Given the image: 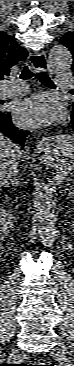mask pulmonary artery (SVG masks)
Instances as JSON below:
<instances>
[{
  "label": "pulmonary artery",
  "mask_w": 74,
  "mask_h": 366,
  "mask_svg": "<svg viewBox=\"0 0 74 366\" xmlns=\"http://www.w3.org/2000/svg\"><path fill=\"white\" fill-rule=\"evenodd\" d=\"M55 76L57 80V88L67 89L73 85V78L69 73L58 71ZM26 89L27 86L23 83L10 82L5 88H3L2 95L5 97H15L23 94Z\"/></svg>",
  "instance_id": "1"
}]
</instances>
